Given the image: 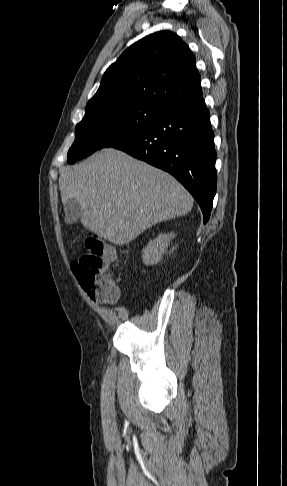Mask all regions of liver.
<instances>
[{
  "mask_svg": "<svg viewBox=\"0 0 287 486\" xmlns=\"http://www.w3.org/2000/svg\"><path fill=\"white\" fill-rule=\"evenodd\" d=\"M59 187L64 206L76 199L82 207L85 228L120 246L193 207L192 196L173 176L113 148L63 168Z\"/></svg>",
  "mask_w": 287,
  "mask_h": 486,
  "instance_id": "liver-1",
  "label": "liver"
}]
</instances>
